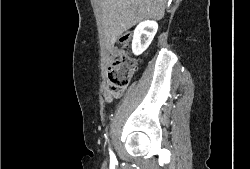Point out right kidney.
<instances>
[{
  "instance_id": "1",
  "label": "right kidney",
  "mask_w": 250,
  "mask_h": 169,
  "mask_svg": "<svg viewBox=\"0 0 250 169\" xmlns=\"http://www.w3.org/2000/svg\"><path fill=\"white\" fill-rule=\"evenodd\" d=\"M158 30V22L156 20H143L137 24L132 40V50L134 54H142L152 42Z\"/></svg>"
}]
</instances>
